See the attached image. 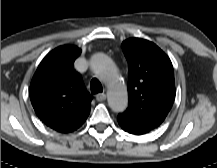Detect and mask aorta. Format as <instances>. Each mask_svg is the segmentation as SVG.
<instances>
[{
	"label": "aorta",
	"instance_id": "762f6f07",
	"mask_svg": "<svg viewBox=\"0 0 217 168\" xmlns=\"http://www.w3.org/2000/svg\"><path fill=\"white\" fill-rule=\"evenodd\" d=\"M90 66L93 72L107 85L109 107L115 112H122L128 105V94L125 85L118 76L113 61L103 53L91 57Z\"/></svg>",
	"mask_w": 217,
	"mask_h": 168
}]
</instances>
